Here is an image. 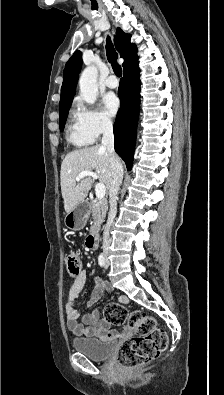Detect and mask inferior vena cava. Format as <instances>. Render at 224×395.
<instances>
[{"label": "inferior vena cava", "instance_id": "1", "mask_svg": "<svg viewBox=\"0 0 224 395\" xmlns=\"http://www.w3.org/2000/svg\"><path fill=\"white\" fill-rule=\"evenodd\" d=\"M102 134L103 136H102L101 146L105 148L109 154V161L111 165V176H112L111 186L109 189L110 211L108 214L107 223L103 233V245H102L103 251L107 252L110 244V239H109L110 226L112 225L117 213V194L119 192L120 185L123 180V166L114 150L113 125L109 119L103 120Z\"/></svg>", "mask_w": 224, "mask_h": 395}]
</instances>
